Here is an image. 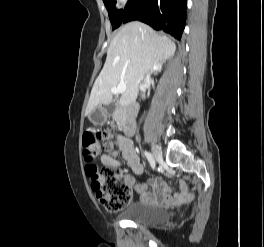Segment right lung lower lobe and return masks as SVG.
Returning a JSON list of instances; mask_svg holds the SVG:
<instances>
[{
  "label": "right lung lower lobe",
  "mask_w": 264,
  "mask_h": 247,
  "mask_svg": "<svg viewBox=\"0 0 264 247\" xmlns=\"http://www.w3.org/2000/svg\"><path fill=\"white\" fill-rule=\"evenodd\" d=\"M186 8L187 0H134L122 22L139 20L180 40L185 27Z\"/></svg>",
  "instance_id": "obj_1"
}]
</instances>
